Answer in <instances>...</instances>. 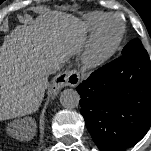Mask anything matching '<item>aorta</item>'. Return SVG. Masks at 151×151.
Returning <instances> with one entry per match:
<instances>
[{
	"instance_id": "aorta-1",
	"label": "aorta",
	"mask_w": 151,
	"mask_h": 151,
	"mask_svg": "<svg viewBox=\"0 0 151 151\" xmlns=\"http://www.w3.org/2000/svg\"><path fill=\"white\" fill-rule=\"evenodd\" d=\"M80 95L74 89H65L60 94V102L64 108L73 109L79 105Z\"/></svg>"
}]
</instances>
